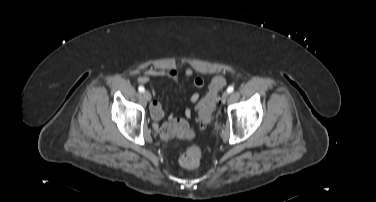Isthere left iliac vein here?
<instances>
[{"label":"left iliac vein","mask_w":376,"mask_h":202,"mask_svg":"<svg viewBox=\"0 0 376 202\" xmlns=\"http://www.w3.org/2000/svg\"><path fill=\"white\" fill-rule=\"evenodd\" d=\"M228 97H229V93L228 92H224L222 94V97H221L222 103H225L227 101Z\"/></svg>","instance_id":"obj_1"}]
</instances>
